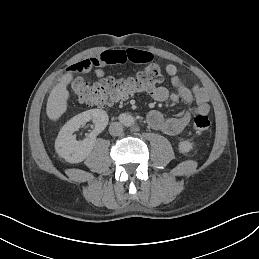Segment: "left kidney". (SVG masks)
I'll return each instance as SVG.
<instances>
[{
	"label": "left kidney",
	"mask_w": 259,
	"mask_h": 259,
	"mask_svg": "<svg viewBox=\"0 0 259 259\" xmlns=\"http://www.w3.org/2000/svg\"><path fill=\"white\" fill-rule=\"evenodd\" d=\"M194 143L187 139L179 141L177 150L180 154H189L193 151Z\"/></svg>",
	"instance_id": "left-kidney-1"
}]
</instances>
